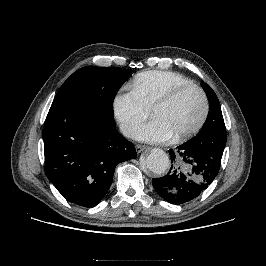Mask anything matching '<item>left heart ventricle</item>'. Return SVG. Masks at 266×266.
<instances>
[{"label": "left heart ventricle", "instance_id": "b2bd125f", "mask_svg": "<svg viewBox=\"0 0 266 266\" xmlns=\"http://www.w3.org/2000/svg\"><path fill=\"white\" fill-rule=\"evenodd\" d=\"M202 109L203 101L199 92L189 90L171 104L157 109L154 118L162 120L175 135L191 128L199 119Z\"/></svg>", "mask_w": 266, "mask_h": 266}]
</instances>
